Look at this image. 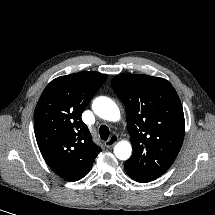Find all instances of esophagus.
Masks as SVG:
<instances>
[{
	"label": "esophagus",
	"mask_w": 215,
	"mask_h": 215,
	"mask_svg": "<svg viewBox=\"0 0 215 215\" xmlns=\"http://www.w3.org/2000/svg\"><path fill=\"white\" fill-rule=\"evenodd\" d=\"M119 138L117 135H112L106 142H105V146L107 148H111L113 147L117 142H118Z\"/></svg>",
	"instance_id": "obj_1"
}]
</instances>
